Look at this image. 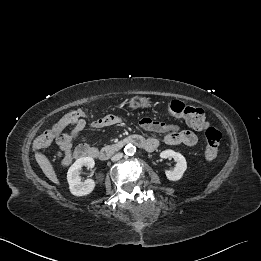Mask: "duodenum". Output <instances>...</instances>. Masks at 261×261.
Segmentation results:
<instances>
[{
    "instance_id": "1",
    "label": "duodenum",
    "mask_w": 261,
    "mask_h": 261,
    "mask_svg": "<svg viewBox=\"0 0 261 261\" xmlns=\"http://www.w3.org/2000/svg\"><path fill=\"white\" fill-rule=\"evenodd\" d=\"M128 144L136 145L145 151H153L157 146V144L153 140L144 139L141 136L133 135V136H129L124 139H121L120 141H118L114 144L108 145L101 150L95 151L93 153V156L100 160H107L114 153L120 151Z\"/></svg>"
}]
</instances>
